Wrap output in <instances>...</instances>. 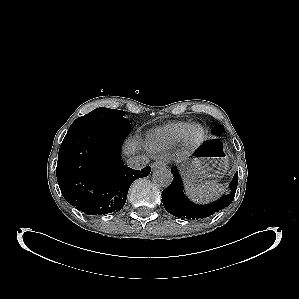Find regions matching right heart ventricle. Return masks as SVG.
I'll use <instances>...</instances> for the list:
<instances>
[{"instance_id":"e07e8e85","label":"right heart ventricle","mask_w":299,"mask_h":299,"mask_svg":"<svg viewBox=\"0 0 299 299\" xmlns=\"http://www.w3.org/2000/svg\"><path fill=\"white\" fill-rule=\"evenodd\" d=\"M190 126L188 122H171L155 128L148 137V147L153 152H162L180 143Z\"/></svg>"}]
</instances>
